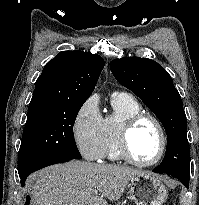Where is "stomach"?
I'll list each match as a JSON object with an SVG mask.
<instances>
[{
	"label": "stomach",
	"instance_id": "obj_1",
	"mask_svg": "<svg viewBox=\"0 0 199 205\" xmlns=\"http://www.w3.org/2000/svg\"><path fill=\"white\" fill-rule=\"evenodd\" d=\"M130 195L136 205H162L167 199L166 186L156 177L141 173L130 181Z\"/></svg>",
	"mask_w": 199,
	"mask_h": 205
}]
</instances>
